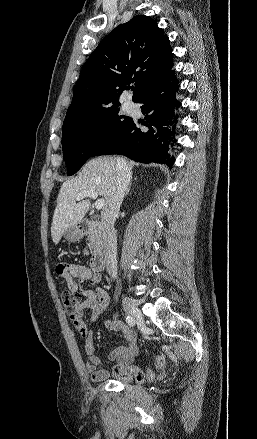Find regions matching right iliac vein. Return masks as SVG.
<instances>
[{
  "label": "right iliac vein",
  "mask_w": 257,
  "mask_h": 439,
  "mask_svg": "<svg viewBox=\"0 0 257 439\" xmlns=\"http://www.w3.org/2000/svg\"><path fill=\"white\" fill-rule=\"evenodd\" d=\"M122 305L127 314L136 318L141 324H144V318L138 309V302L129 297L122 298Z\"/></svg>",
  "instance_id": "1"
}]
</instances>
